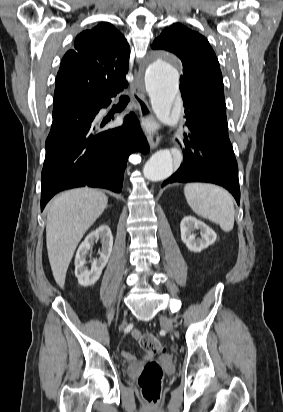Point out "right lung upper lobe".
I'll list each match as a JSON object with an SVG mask.
<instances>
[{
  "label": "right lung upper lobe",
  "instance_id": "cb5924a9",
  "mask_svg": "<svg viewBox=\"0 0 283 412\" xmlns=\"http://www.w3.org/2000/svg\"><path fill=\"white\" fill-rule=\"evenodd\" d=\"M129 56L127 40L110 23L80 33L74 49L65 54L60 65L53 114L122 91L128 86L125 75Z\"/></svg>",
  "mask_w": 283,
  "mask_h": 412
}]
</instances>
